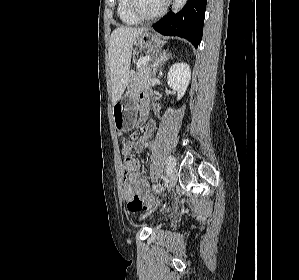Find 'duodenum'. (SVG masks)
<instances>
[{
	"label": "duodenum",
	"instance_id": "410a0bca",
	"mask_svg": "<svg viewBox=\"0 0 299 280\" xmlns=\"http://www.w3.org/2000/svg\"><path fill=\"white\" fill-rule=\"evenodd\" d=\"M140 106L142 109H145V103L142 102Z\"/></svg>",
	"mask_w": 299,
	"mask_h": 280
}]
</instances>
